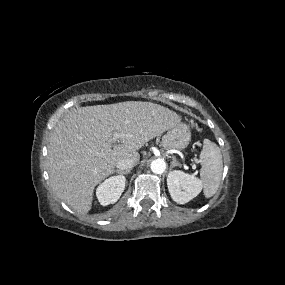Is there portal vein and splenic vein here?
Wrapping results in <instances>:
<instances>
[{
    "label": "portal vein and splenic vein",
    "instance_id": "1",
    "mask_svg": "<svg viewBox=\"0 0 285 285\" xmlns=\"http://www.w3.org/2000/svg\"><path fill=\"white\" fill-rule=\"evenodd\" d=\"M119 138H120V134L117 133V132H115V133L113 134V141L116 142Z\"/></svg>",
    "mask_w": 285,
    "mask_h": 285
}]
</instances>
